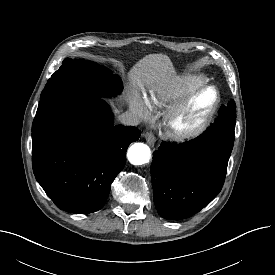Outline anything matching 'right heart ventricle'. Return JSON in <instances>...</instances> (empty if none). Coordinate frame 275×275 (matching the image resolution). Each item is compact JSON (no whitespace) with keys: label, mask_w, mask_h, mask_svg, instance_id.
Returning <instances> with one entry per match:
<instances>
[{"label":"right heart ventricle","mask_w":275,"mask_h":275,"mask_svg":"<svg viewBox=\"0 0 275 275\" xmlns=\"http://www.w3.org/2000/svg\"><path fill=\"white\" fill-rule=\"evenodd\" d=\"M207 84L201 75H185L176 77L151 90L146 102L151 109H168L190 91Z\"/></svg>","instance_id":"e07e8e85"}]
</instances>
